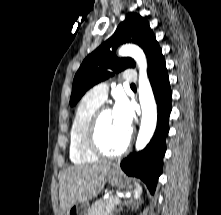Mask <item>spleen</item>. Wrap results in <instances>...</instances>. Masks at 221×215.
<instances>
[{"label":"spleen","instance_id":"spleen-1","mask_svg":"<svg viewBox=\"0 0 221 215\" xmlns=\"http://www.w3.org/2000/svg\"><path fill=\"white\" fill-rule=\"evenodd\" d=\"M135 186H136V189L134 191V197L136 199H138V198H140V195L142 194V187L137 182H135Z\"/></svg>","mask_w":221,"mask_h":215}]
</instances>
